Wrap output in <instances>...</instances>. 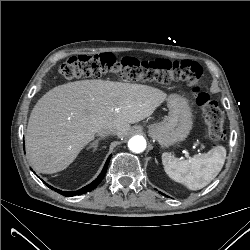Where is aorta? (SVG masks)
<instances>
[{
    "label": "aorta",
    "instance_id": "aorta-1",
    "mask_svg": "<svg viewBox=\"0 0 250 250\" xmlns=\"http://www.w3.org/2000/svg\"><path fill=\"white\" fill-rule=\"evenodd\" d=\"M128 147L132 152L141 153L146 149V140L143 136L136 135L129 140Z\"/></svg>",
    "mask_w": 250,
    "mask_h": 250
}]
</instances>
